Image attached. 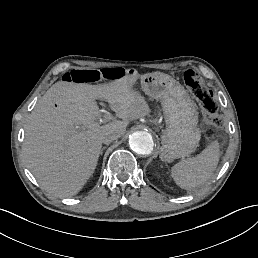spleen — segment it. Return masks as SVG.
<instances>
[{"instance_id": "obj_1", "label": "spleen", "mask_w": 258, "mask_h": 258, "mask_svg": "<svg viewBox=\"0 0 258 258\" xmlns=\"http://www.w3.org/2000/svg\"><path fill=\"white\" fill-rule=\"evenodd\" d=\"M219 157L220 145L215 140L198 155L186 158L172 167V177L183 189H197L213 176Z\"/></svg>"}]
</instances>
